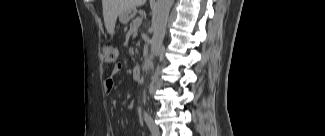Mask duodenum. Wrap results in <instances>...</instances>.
<instances>
[{"label": "duodenum", "instance_id": "410a0bca", "mask_svg": "<svg viewBox=\"0 0 325 136\" xmlns=\"http://www.w3.org/2000/svg\"><path fill=\"white\" fill-rule=\"evenodd\" d=\"M141 66L140 65H135L133 68H132V75L134 78H139L140 77V74H141Z\"/></svg>", "mask_w": 325, "mask_h": 136}]
</instances>
